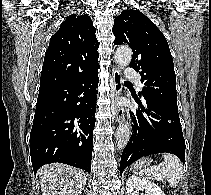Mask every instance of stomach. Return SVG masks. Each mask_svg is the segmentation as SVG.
<instances>
[{
  "instance_id": "0dacf381",
  "label": "stomach",
  "mask_w": 211,
  "mask_h": 195,
  "mask_svg": "<svg viewBox=\"0 0 211 195\" xmlns=\"http://www.w3.org/2000/svg\"><path fill=\"white\" fill-rule=\"evenodd\" d=\"M151 163H152V159L151 158H148V157L142 158L141 160L137 161L134 164V168L144 169V168H147Z\"/></svg>"
}]
</instances>
